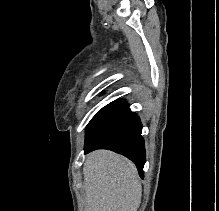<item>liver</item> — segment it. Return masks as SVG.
I'll list each match as a JSON object with an SVG mask.
<instances>
[{
	"instance_id": "obj_1",
	"label": "liver",
	"mask_w": 219,
	"mask_h": 211,
	"mask_svg": "<svg viewBox=\"0 0 219 211\" xmlns=\"http://www.w3.org/2000/svg\"><path fill=\"white\" fill-rule=\"evenodd\" d=\"M85 211H137L142 185L133 161L109 151L88 153L84 165Z\"/></svg>"
}]
</instances>
